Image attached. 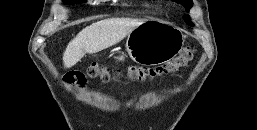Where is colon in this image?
Instances as JSON below:
<instances>
[{
    "instance_id": "colon-1",
    "label": "colon",
    "mask_w": 257,
    "mask_h": 130,
    "mask_svg": "<svg viewBox=\"0 0 257 130\" xmlns=\"http://www.w3.org/2000/svg\"><path fill=\"white\" fill-rule=\"evenodd\" d=\"M194 50L191 47L183 48L180 53L172 60L163 65L153 67L131 66L127 70V76L131 80L145 81L147 79H155L165 74H171L179 71L187 65L193 58ZM87 77L99 78L103 82H109L115 79V75L108 69L100 67L96 63H92L86 67L84 71H73L67 74L64 81L68 84H75L78 87H84Z\"/></svg>"
}]
</instances>
